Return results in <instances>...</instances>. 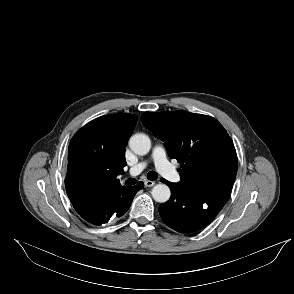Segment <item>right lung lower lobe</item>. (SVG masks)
Listing matches in <instances>:
<instances>
[{"label":"right lung lower lobe","instance_id":"obj_1","mask_svg":"<svg viewBox=\"0 0 294 294\" xmlns=\"http://www.w3.org/2000/svg\"><path fill=\"white\" fill-rule=\"evenodd\" d=\"M144 184L139 182L136 186L125 187L116 192L112 198L103 204L90 210H78L79 215L86 221L94 225H102L109 221L111 217H120L129 209L132 200Z\"/></svg>","mask_w":294,"mask_h":294}]
</instances>
